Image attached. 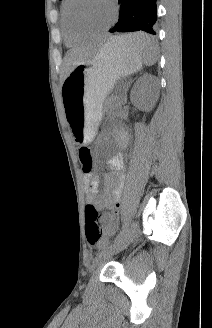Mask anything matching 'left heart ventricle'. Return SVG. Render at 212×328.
Listing matches in <instances>:
<instances>
[{
  "instance_id": "1",
  "label": "left heart ventricle",
  "mask_w": 212,
  "mask_h": 328,
  "mask_svg": "<svg viewBox=\"0 0 212 328\" xmlns=\"http://www.w3.org/2000/svg\"><path fill=\"white\" fill-rule=\"evenodd\" d=\"M113 16L110 0H77L71 8L73 22L83 28L107 25Z\"/></svg>"
}]
</instances>
